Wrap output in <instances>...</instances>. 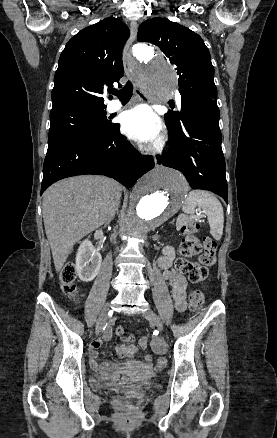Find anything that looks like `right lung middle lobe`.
<instances>
[{"label": "right lung middle lobe", "mask_w": 277, "mask_h": 438, "mask_svg": "<svg viewBox=\"0 0 277 438\" xmlns=\"http://www.w3.org/2000/svg\"><path fill=\"white\" fill-rule=\"evenodd\" d=\"M50 122L48 148L78 136L101 134L111 127L105 108L53 113Z\"/></svg>", "instance_id": "obj_1"}]
</instances>
